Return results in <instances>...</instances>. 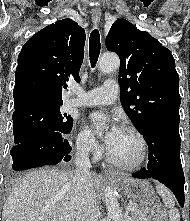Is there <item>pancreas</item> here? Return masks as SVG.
Masks as SVG:
<instances>
[{
    "mask_svg": "<svg viewBox=\"0 0 190 221\" xmlns=\"http://www.w3.org/2000/svg\"><path fill=\"white\" fill-rule=\"evenodd\" d=\"M135 206V210L131 211V215L134 221H149L147 215L137 206Z\"/></svg>",
    "mask_w": 190,
    "mask_h": 221,
    "instance_id": "1",
    "label": "pancreas"
}]
</instances>
